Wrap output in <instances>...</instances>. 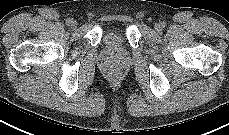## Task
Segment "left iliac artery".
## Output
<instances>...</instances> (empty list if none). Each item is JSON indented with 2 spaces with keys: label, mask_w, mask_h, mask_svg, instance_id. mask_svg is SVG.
<instances>
[{
  "label": "left iliac artery",
  "mask_w": 229,
  "mask_h": 135,
  "mask_svg": "<svg viewBox=\"0 0 229 135\" xmlns=\"http://www.w3.org/2000/svg\"><path fill=\"white\" fill-rule=\"evenodd\" d=\"M161 27H165V23L164 22H161Z\"/></svg>",
  "instance_id": "obj_1"
}]
</instances>
